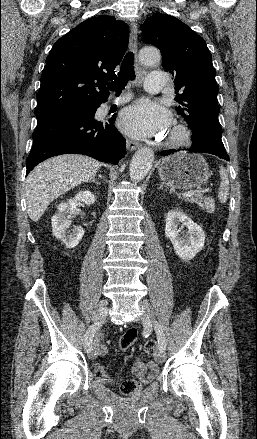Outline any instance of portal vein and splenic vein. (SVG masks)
Here are the masks:
<instances>
[{
	"mask_svg": "<svg viewBox=\"0 0 257 439\" xmlns=\"http://www.w3.org/2000/svg\"><path fill=\"white\" fill-rule=\"evenodd\" d=\"M193 194H194L193 191H187V192L182 194V197L189 198V197L193 196Z\"/></svg>",
	"mask_w": 257,
	"mask_h": 439,
	"instance_id": "obj_1",
	"label": "portal vein and splenic vein"
}]
</instances>
